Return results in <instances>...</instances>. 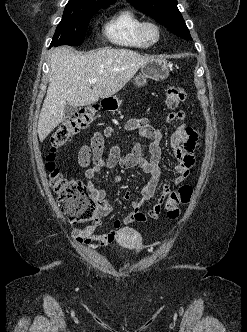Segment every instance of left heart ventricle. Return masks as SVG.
Wrapping results in <instances>:
<instances>
[{"label": "left heart ventricle", "instance_id": "b2bd125f", "mask_svg": "<svg viewBox=\"0 0 247 332\" xmlns=\"http://www.w3.org/2000/svg\"><path fill=\"white\" fill-rule=\"evenodd\" d=\"M148 35L149 37L153 38L155 36V32L153 29H148Z\"/></svg>", "mask_w": 247, "mask_h": 332}]
</instances>
